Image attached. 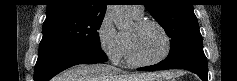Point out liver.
Segmentation results:
<instances>
[{
    "label": "liver",
    "mask_w": 237,
    "mask_h": 81,
    "mask_svg": "<svg viewBox=\"0 0 237 81\" xmlns=\"http://www.w3.org/2000/svg\"><path fill=\"white\" fill-rule=\"evenodd\" d=\"M164 73L128 74L107 64H80L59 74L56 81H151Z\"/></svg>",
    "instance_id": "6515ba94"
}]
</instances>
